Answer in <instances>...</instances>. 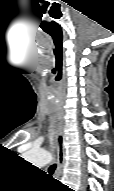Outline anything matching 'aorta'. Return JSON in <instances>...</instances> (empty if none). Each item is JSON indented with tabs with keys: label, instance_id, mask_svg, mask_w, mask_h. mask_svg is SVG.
Listing matches in <instances>:
<instances>
[{
	"label": "aorta",
	"instance_id": "1",
	"mask_svg": "<svg viewBox=\"0 0 114 191\" xmlns=\"http://www.w3.org/2000/svg\"><path fill=\"white\" fill-rule=\"evenodd\" d=\"M24 158L33 165L42 167L51 161V154L44 150H30L24 154Z\"/></svg>",
	"mask_w": 114,
	"mask_h": 191
}]
</instances>
